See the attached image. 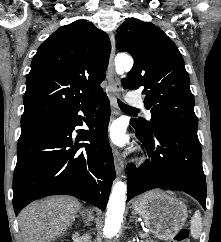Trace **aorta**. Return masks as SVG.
I'll use <instances>...</instances> for the list:
<instances>
[{
  "label": "aorta",
  "instance_id": "762f6f07",
  "mask_svg": "<svg viewBox=\"0 0 221 242\" xmlns=\"http://www.w3.org/2000/svg\"><path fill=\"white\" fill-rule=\"evenodd\" d=\"M133 66V59L127 55H118L115 58V69L119 75L128 72ZM127 187L122 181L114 184L107 205V216L105 219L104 235L112 238L117 235L123 221V213L125 210V197Z\"/></svg>",
  "mask_w": 221,
  "mask_h": 242
}]
</instances>
